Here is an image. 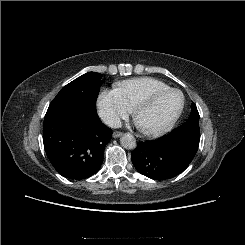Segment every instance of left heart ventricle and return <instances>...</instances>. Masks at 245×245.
<instances>
[{
    "instance_id": "obj_1",
    "label": "left heart ventricle",
    "mask_w": 245,
    "mask_h": 245,
    "mask_svg": "<svg viewBox=\"0 0 245 245\" xmlns=\"http://www.w3.org/2000/svg\"><path fill=\"white\" fill-rule=\"evenodd\" d=\"M180 105V94L177 92L168 93L141 108L136 123L142 129H156L170 120Z\"/></svg>"
}]
</instances>
